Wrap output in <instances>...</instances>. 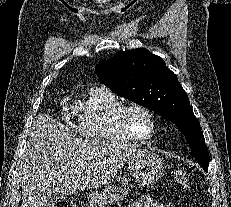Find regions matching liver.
<instances>
[{
	"mask_svg": "<svg viewBox=\"0 0 231 207\" xmlns=\"http://www.w3.org/2000/svg\"><path fill=\"white\" fill-rule=\"evenodd\" d=\"M138 151L128 144L77 138L41 114L33 120L22 156L21 207H45L52 193L68 196L102 186Z\"/></svg>",
	"mask_w": 231,
	"mask_h": 207,
	"instance_id": "6515ba94",
	"label": "liver"
}]
</instances>
